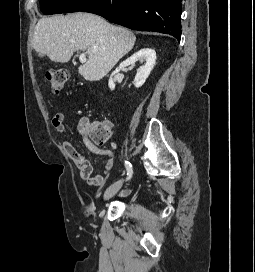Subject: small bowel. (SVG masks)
I'll return each mask as SVG.
<instances>
[{
  "label": "small bowel",
  "mask_w": 255,
  "mask_h": 272,
  "mask_svg": "<svg viewBox=\"0 0 255 272\" xmlns=\"http://www.w3.org/2000/svg\"><path fill=\"white\" fill-rule=\"evenodd\" d=\"M52 125L58 132H64V115L61 112L56 113L52 119ZM84 121H81L78 125L79 133L82 136L85 147L93 154L102 156L106 159L103 172L97 175H93L94 168L89 159L82 153H80L70 140L63 141V148L80 171L81 177L87 181L91 186H102L106 180V176L111 170L114 161V152L112 149H104L95 145L89 140L85 134Z\"/></svg>",
  "instance_id": "small-bowel-1"
}]
</instances>
